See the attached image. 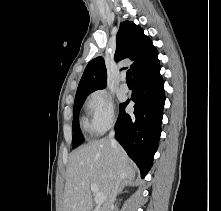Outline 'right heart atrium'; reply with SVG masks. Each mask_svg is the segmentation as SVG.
I'll use <instances>...</instances> for the list:
<instances>
[{"instance_id":"1","label":"right heart atrium","mask_w":221,"mask_h":211,"mask_svg":"<svg viewBox=\"0 0 221 211\" xmlns=\"http://www.w3.org/2000/svg\"><path fill=\"white\" fill-rule=\"evenodd\" d=\"M87 128L93 134H102L115 123L112 97L102 89L93 91L86 99Z\"/></svg>"}]
</instances>
